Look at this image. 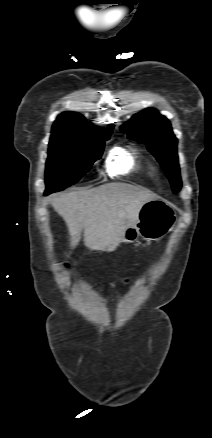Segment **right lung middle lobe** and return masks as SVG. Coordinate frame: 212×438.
Wrapping results in <instances>:
<instances>
[{
	"instance_id": "dd1d6c3e",
	"label": "right lung middle lobe",
	"mask_w": 212,
	"mask_h": 438,
	"mask_svg": "<svg viewBox=\"0 0 212 438\" xmlns=\"http://www.w3.org/2000/svg\"><path fill=\"white\" fill-rule=\"evenodd\" d=\"M109 137H51L45 171L46 190L56 192L78 182L101 158L103 139Z\"/></svg>"
}]
</instances>
